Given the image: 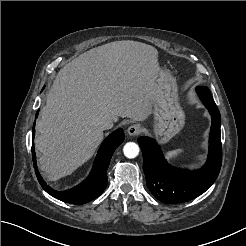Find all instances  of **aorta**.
<instances>
[{
  "instance_id": "1",
  "label": "aorta",
  "mask_w": 246,
  "mask_h": 246,
  "mask_svg": "<svg viewBox=\"0 0 246 246\" xmlns=\"http://www.w3.org/2000/svg\"><path fill=\"white\" fill-rule=\"evenodd\" d=\"M123 152L127 158H135L139 154V146L134 142H128L124 145Z\"/></svg>"
}]
</instances>
